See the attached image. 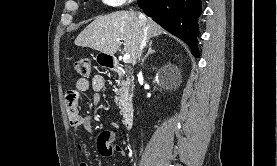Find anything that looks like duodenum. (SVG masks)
<instances>
[{
    "label": "duodenum",
    "mask_w": 277,
    "mask_h": 166,
    "mask_svg": "<svg viewBox=\"0 0 277 166\" xmlns=\"http://www.w3.org/2000/svg\"><path fill=\"white\" fill-rule=\"evenodd\" d=\"M107 66L113 71H121L122 66L116 59H110L107 62ZM122 118L123 124L126 128H131L134 120V107L130 101H125L122 103Z\"/></svg>",
    "instance_id": "410a0bca"
}]
</instances>
